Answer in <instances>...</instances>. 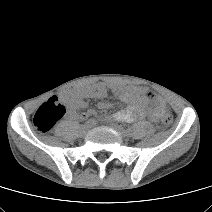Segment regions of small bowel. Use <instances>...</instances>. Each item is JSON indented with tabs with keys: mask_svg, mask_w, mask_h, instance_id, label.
I'll use <instances>...</instances> for the list:
<instances>
[{
	"mask_svg": "<svg viewBox=\"0 0 212 212\" xmlns=\"http://www.w3.org/2000/svg\"><path fill=\"white\" fill-rule=\"evenodd\" d=\"M111 91L115 98L126 104V107L117 111L112 118L120 122H134L149 117L157 121L165 111L164 102L156 97L157 105L154 108L148 107V100L143 92L131 87H123L117 84L107 85L104 82H98L93 85L80 87L72 92L64 93L63 101L68 107L67 118L69 120H83L92 114L91 110L83 113L78 111L87 106L88 99H103ZM111 106L110 102L102 101L98 107L107 109Z\"/></svg>",
	"mask_w": 212,
	"mask_h": 212,
	"instance_id": "c3829d8e",
	"label": "small bowel"
}]
</instances>
